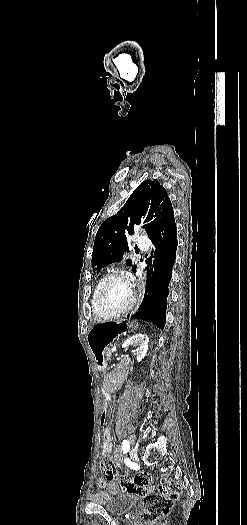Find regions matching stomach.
I'll return each mask as SVG.
<instances>
[{
    "instance_id": "stomach-1",
    "label": "stomach",
    "mask_w": 247,
    "mask_h": 525,
    "mask_svg": "<svg viewBox=\"0 0 247 525\" xmlns=\"http://www.w3.org/2000/svg\"><path fill=\"white\" fill-rule=\"evenodd\" d=\"M134 322L118 320L114 322L99 323L92 326L87 335V344L95 357L99 369H104L106 360L104 350L114 339L125 335L129 331L136 329Z\"/></svg>"
}]
</instances>
